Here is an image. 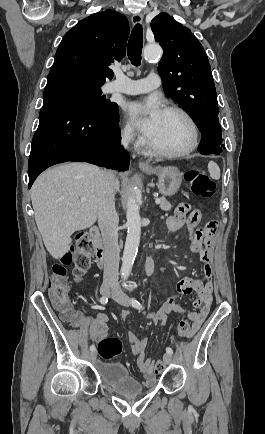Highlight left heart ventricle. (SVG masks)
Listing matches in <instances>:
<instances>
[{
  "label": "left heart ventricle",
  "instance_id": "obj_1",
  "mask_svg": "<svg viewBox=\"0 0 265 434\" xmlns=\"http://www.w3.org/2000/svg\"><path fill=\"white\" fill-rule=\"evenodd\" d=\"M190 140V127L187 121L177 113H163L155 137L150 143L165 151H177L184 148Z\"/></svg>",
  "mask_w": 265,
  "mask_h": 434
}]
</instances>
